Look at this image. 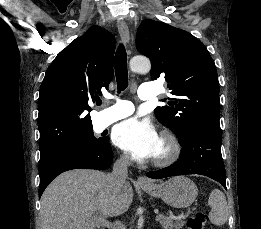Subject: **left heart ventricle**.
<instances>
[{"label": "left heart ventricle", "instance_id": "obj_1", "mask_svg": "<svg viewBox=\"0 0 261 229\" xmlns=\"http://www.w3.org/2000/svg\"><path fill=\"white\" fill-rule=\"evenodd\" d=\"M162 152H163V144H162V142L160 141L159 146H158V148H157L156 153H155L154 156H158V155H160Z\"/></svg>", "mask_w": 261, "mask_h": 229}]
</instances>
